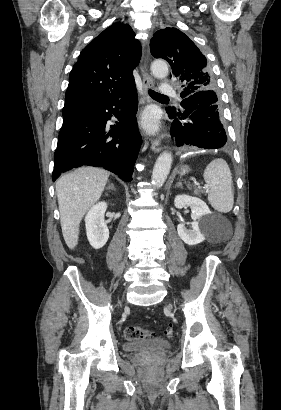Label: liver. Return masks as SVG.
<instances>
[{"label":"liver","instance_id":"liver-1","mask_svg":"<svg viewBox=\"0 0 281 410\" xmlns=\"http://www.w3.org/2000/svg\"><path fill=\"white\" fill-rule=\"evenodd\" d=\"M108 178L109 173L104 169L82 167L56 182L62 234L70 249L78 244L80 222L101 197Z\"/></svg>","mask_w":281,"mask_h":410}]
</instances>
